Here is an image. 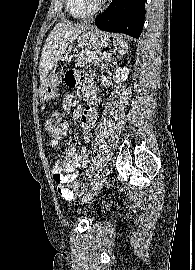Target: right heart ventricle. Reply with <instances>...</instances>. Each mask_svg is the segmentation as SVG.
I'll return each instance as SVG.
<instances>
[{"label":"right heart ventricle","instance_id":"right-heart-ventricle-1","mask_svg":"<svg viewBox=\"0 0 195 270\" xmlns=\"http://www.w3.org/2000/svg\"><path fill=\"white\" fill-rule=\"evenodd\" d=\"M66 9L74 18H86L94 13L84 0H66Z\"/></svg>","mask_w":195,"mask_h":270}]
</instances>
